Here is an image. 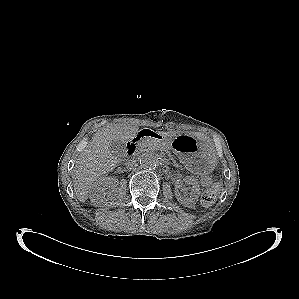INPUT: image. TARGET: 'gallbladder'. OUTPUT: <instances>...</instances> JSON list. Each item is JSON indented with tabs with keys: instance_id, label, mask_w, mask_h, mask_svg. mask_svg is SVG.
I'll return each mask as SVG.
<instances>
[{
	"instance_id": "bac80fb5",
	"label": "gallbladder",
	"mask_w": 299,
	"mask_h": 299,
	"mask_svg": "<svg viewBox=\"0 0 299 299\" xmlns=\"http://www.w3.org/2000/svg\"><path fill=\"white\" fill-rule=\"evenodd\" d=\"M125 144L121 141H113L110 145V151L113 155L121 157L125 154Z\"/></svg>"
}]
</instances>
